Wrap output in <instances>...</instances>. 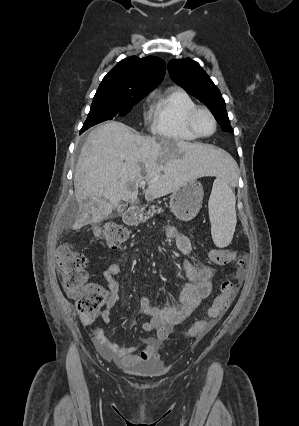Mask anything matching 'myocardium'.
<instances>
[{
	"mask_svg": "<svg viewBox=\"0 0 299 426\" xmlns=\"http://www.w3.org/2000/svg\"><path fill=\"white\" fill-rule=\"evenodd\" d=\"M201 113H205V114H207V115L211 118V120H212V122H213L214 129H213V131H212L210 134H207V135L202 134V133H200V132H199V130L197 129V126H196V119H197L198 115H199V114H201ZM186 123H187V127H188L189 131H190L193 135H195L196 137H198V138H208V137L213 136V135L216 133V131H217V127H218V123H217V119H216L215 115H214V114H213V112H212V111H211L208 107H206V106H196V107H194V108H193V109L189 112V114H188V116H187V119H186Z\"/></svg>",
	"mask_w": 299,
	"mask_h": 426,
	"instance_id": "1",
	"label": "myocardium"
}]
</instances>
